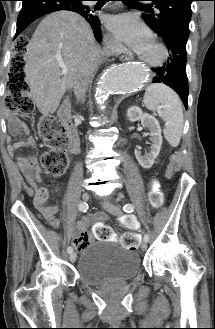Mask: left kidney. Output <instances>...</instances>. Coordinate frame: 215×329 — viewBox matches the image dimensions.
Here are the masks:
<instances>
[{"label":"left kidney","mask_w":215,"mask_h":329,"mask_svg":"<svg viewBox=\"0 0 215 329\" xmlns=\"http://www.w3.org/2000/svg\"><path fill=\"white\" fill-rule=\"evenodd\" d=\"M127 117L130 122L140 120L143 127H147L150 131L151 151L145 155H141V152L135 150V156L139 164L144 169H149L154 164L155 159L160 153L162 146V135L159 122L155 117L147 113H143L137 106H132L127 110Z\"/></svg>","instance_id":"obj_1"}]
</instances>
